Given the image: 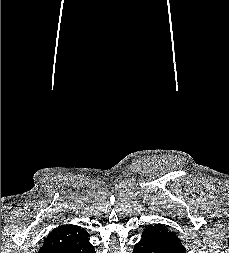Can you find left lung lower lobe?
<instances>
[{
  "instance_id": "0a47b994",
  "label": "left lung lower lobe",
  "mask_w": 229,
  "mask_h": 253,
  "mask_svg": "<svg viewBox=\"0 0 229 253\" xmlns=\"http://www.w3.org/2000/svg\"><path fill=\"white\" fill-rule=\"evenodd\" d=\"M133 253H186V250L180 243L141 239L135 244Z\"/></svg>"
}]
</instances>
